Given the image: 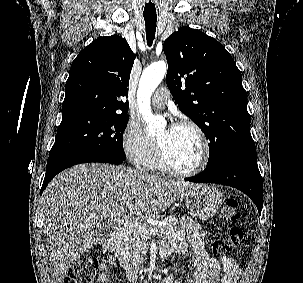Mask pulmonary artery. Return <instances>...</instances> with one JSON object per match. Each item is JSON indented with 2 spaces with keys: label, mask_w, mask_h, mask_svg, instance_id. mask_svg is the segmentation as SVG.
I'll return each instance as SVG.
<instances>
[{
  "label": "pulmonary artery",
  "mask_w": 303,
  "mask_h": 283,
  "mask_svg": "<svg viewBox=\"0 0 303 283\" xmlns=\"http://www.w3.org/2000/svg\"><path fill=\"white\" fill-rule=\"evenodd\" d=\"M169 96V90L166 87H161L155 92L152 103L157 108H164L169 100Z\"/></svg>",
  "instance_id": "e3ab8cb5"
}]
</instances>
